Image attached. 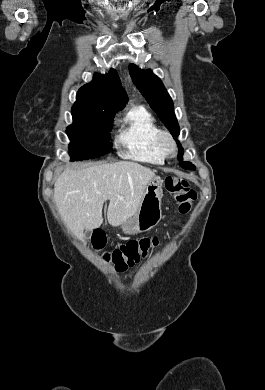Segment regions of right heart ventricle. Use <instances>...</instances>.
Returning <instances> with one entry per match:
<instances>
[{
  "instance_id": "e07e8e85",
  "label": "right heart ventricle",
  "mask_w": 265,
  "mask_h": 390,
  "mask_svg": "<svg viewBox=\"0 0 265 390\" xmlns=\"http://www.w3.org/2000/svg\"><path fill=\"white\" fill-rule=\"evenodd\" d=\"M160 129L153 115L142 105L132 107L122 119L116 136L121 156L140 162L162 164L156 137Z\"/></svg>"
}]
</instances>
